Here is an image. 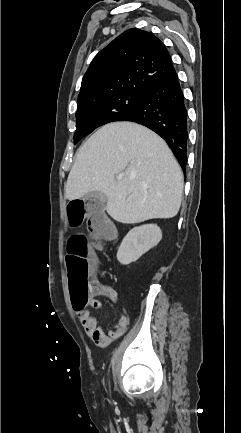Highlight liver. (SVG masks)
<instances>
[{
    "label": "liver",
    "instance_id": "liver-1",
    "mask_svg": "<svg viewBox=\"0 0 241 433\" xmlns=\"http://www.w3.org/2000/svg\"><path fill=\"white\" fill-rule=\"evenodd\" d=\"M183 187L181 168L161 137L137 123L113 122L78 149L65 197L102 192L107 213L120 223L134 224L176 216Z\"/></svg>",
    "mask_w": 241,
    "mask_h": 433
}]
</instances>
